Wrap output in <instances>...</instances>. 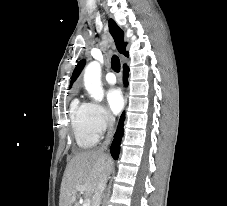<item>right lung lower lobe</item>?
<instances>
[{"instance_id": "1", "label": "right lung lower lobe", "mask_w": 227, "mask_h": 206, "mask_svg": "<svg viewBox=\"0 0 227 206\" xmlns=\"http://www.w3.org/2000/svg\"><path fill=\"white\" fill-rule=\"evenodd\" d=\"M128 73H129V68L124 65V83L127 84V78H128ZM123 122H124V118L123 115L120 119L117 131L114 135V140L111 144V155L113 156L114 159H117L119 156V152H120V142H121V138L123 136Z\"/></svg>"}]
</instances>
